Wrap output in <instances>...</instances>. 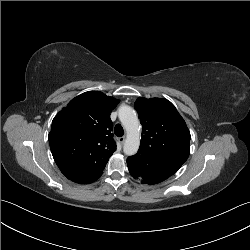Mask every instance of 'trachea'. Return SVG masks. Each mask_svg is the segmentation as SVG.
Listing matches in <instances>:
<instances>
[{"label": "trachea", "mask_w": 250, "mask_h": 250, "mask_svg": "<svg viewBox=\"0 0 250 250\" xmlns=\"http://www.w3.org/2000/svg\"><path fill=\"white\" fill-rule=\"evenodd\" d=\"M114 133L118 137H122L124 135L123 127L120 124H117L114 128Z\"/></svg>", "instance_id": "3493384b"}]
</instances>
